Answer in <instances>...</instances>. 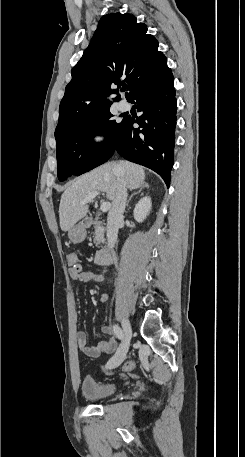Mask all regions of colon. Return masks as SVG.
Returning a JSON list of instances; mask_svg holds the SVG:
<instances>
[{"instance_id":"colon-1","label":"colon","mask_w":245,"mask_h":457,"mask_svg":"<svg viewBox=\"0 0 245 457\" xmlns=\"http://www.w3.org/2000/svg\"><path fill=\"white\" fill-rule=\"evenodd\" d=\"M67 259H68V263L71 266V268L78 269L80 267V265L78 264V257L75 253H69L67 256ZM133 368H134V363L132 361H126L122 365V369L125 371L131 370Z\"/></svg>"}]
</instances>
